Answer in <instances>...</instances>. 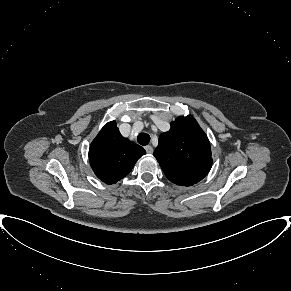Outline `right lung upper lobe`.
I'll return each instance as SVG.
<instances>
[{
  "label": "right lung upper lobe",
  "mask_w": 291,
  "mask_h": 291,
  "mask_svg": "<svg viewBox=\"0 0 291 291\" xmlns=\"http://www.w3.org/2000/svg\"><path fill=\"white\" fill-rule=\"evenodd\" d=\"M145 150L124 138L115 121L107 123L89 148V160L96 176L107 184H115L132 170Z\"/></svg>",
  "instance_id": "obj_1"
}]
</instances>
